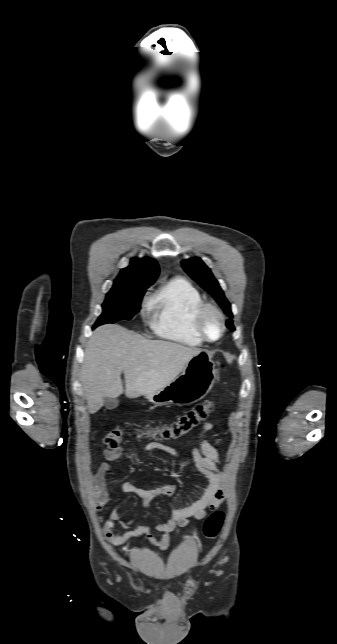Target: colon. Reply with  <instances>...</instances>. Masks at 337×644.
<instances>
[{
    "mask_svg": "<svg viewBox=\"0 0 337 644\" xmlns=\"http://www.w3.org/2000/svg\"><path fill=\"white\" fill-rule=\"evenodd\" d=\"M213 409L214 404L210 401L200 403L177 420L168 424L154 426L147 430H139L137 435H146L156 440L180 438L205 421ZM122 436V430L115 428L106 434L104 442L109 449H114L121 444ZM223 521L224 513L222 511L212 513L204 523L203 533L205 537L209 539L216 538L221 530Z\"/></svg>",
    "mask_w": 337,
    "mask_h": 644,
    "instance_id": "colon-1",
    "label": "colon"
}]
</instances>
